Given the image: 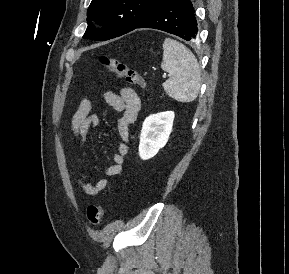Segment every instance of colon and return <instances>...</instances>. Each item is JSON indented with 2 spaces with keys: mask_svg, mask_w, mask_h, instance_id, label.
Masks as SVG:
<instances>
[{
  "mask_svg": "<svg viewBox=\"0 0 289 274\" xmlns=\"http://www.w3.org/2000/svg\"><path fill=\"white\" fill-rule=\"evenodd\" d=\"M99 62L109 71L111 74L126 80L128 83L136 85L142 89H145L147 84L144 78L136 70L128 67L125 63L109 58L107 56H100ZM102 205H90L87 208V220L88 222L96 226L101 222L103 216Z\"/></svg>",
  "mask_w": 289,
  "mask_h": 274,
  "instance_id": "1",
  "label": "colon"
}]
</instances>
